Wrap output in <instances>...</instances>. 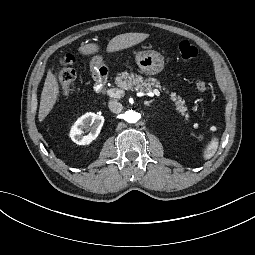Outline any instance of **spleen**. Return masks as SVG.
Masks as SVG:
<instances>
[{
    "label": "spleen",
    "instance_id": "spleen-1",
    "mask_svg": "<svg viewBox=\"0 0 255 255\" xmlns=\"http://www.w3.org/2000/svg\"><path fill=\"white\" fill-rule=\"evenodd\" d=\"M218 148V139L217 138H213L210 143L208 144L205 152H204V158L205 159H210L215 152L217 151Z\"/></svg>",
    "mask_w": 255,
    "mask_h": 255
}]
</instances>
